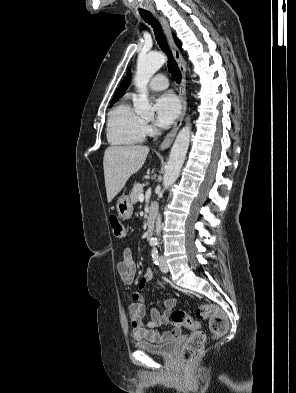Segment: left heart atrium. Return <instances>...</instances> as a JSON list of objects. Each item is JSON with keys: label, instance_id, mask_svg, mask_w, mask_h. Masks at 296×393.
I'll use <instances>...</instances> for the list:
<instances>
[{"label": "left heart atrium", "instance_id": "1", "mask_svg": "<svg viewBox=\"0 0 296 393\" xmlns=\"http://www.w3.org/2000/svg\"><path fill=\"white\" fill-rule=\"evenodd\" d=\"M156 122L160 127H169L180 111V105L177 98L166 93L161 95L155 102Z\"/></svg>", "mask_w": 296, "mask_h": 393}]
</instances>
